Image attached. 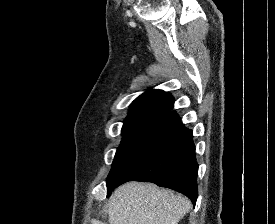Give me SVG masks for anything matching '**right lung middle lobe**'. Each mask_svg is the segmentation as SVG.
Listing matches in <instances>:
<instances>
[{
  "instance_id": "1",
  "label": "right lung middle lobe",
  "mask_w": 275,
  "mask_h": 224,
  "mask_svg": "<svg viewBox=\"0 0 275 224\" xmlns=\"http://www.w3.org/2000/svg\"><path fill=\"white\" fill-rule=\"evenodd\" d=\"M164 115L163 112H143L126 118L122 127L123 140L116 152L107 180L120 170L127 158Z\"/></svg>"
}]
</instances>
